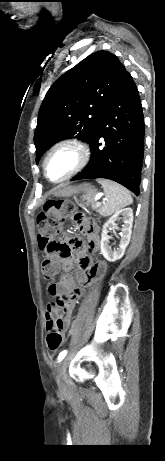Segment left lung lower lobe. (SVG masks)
Returning a JSON list of instances; mask_svg holds the SVG:
<instances>
[{"mask_svg": "<svg viewBox=\"0 0 165 461\" xmlns=\"http://www.w3.org/2000/svg\"><path fill=\"white\" fill-rule=\"evenodd\" d=\"M145 126L139 92L131 75L108 104L91 140V159L71 181L106 178L139 194Z\"/></svg>", "mask_w": 165, "mask_h": 461, "instance_id": "left-lung-lower-lobe-1", "label": "left lung lower lobe"}]
</instances>
